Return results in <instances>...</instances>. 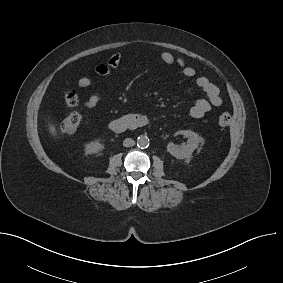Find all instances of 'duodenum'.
I'll list each match as a JSON object with an SVG mask.
<instances>
[{"instance_id": "obj_1", "label": "duodenum", "mask_w": 283, "mask_h": 283, "mask_svg": "<svg viewBox=\"0 0 283 283\" xmlns=\"http://www.w3.org/2000/svg\"><path fill=\"white\" fill-rule=\"evenodd\" d=\"M147 118L140 114H128L110 122L109 127L115 133L134 130L146 126Z\"/></svg>"}]
</instances>
